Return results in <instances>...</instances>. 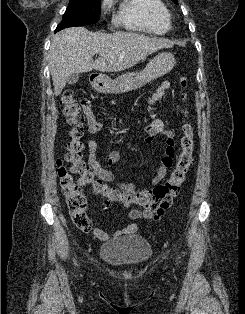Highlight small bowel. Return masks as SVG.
<instances>
[{"instance_id":"1","label":"small bowel","mask_w":245,"mask_h":314,"mask_svg":"<svg viewBox=\"0 0 245 314\" xmlns=\"http://www.w3.org/2000/svg\"><path fill=\"white\" fill-rule=\"evenodd\" d=\"M171 83L169 81H163L156 85L155 92L149 98V104L153 105L160 101L166 94V92L170 89ZM83 112L86 116L88 122V130L90 133H96L100 128L101 124L96 120L92 105L90 101L84 100L82 105ZM146 136L144 141L146 143H151L156 137L163 136L165 138V148L163 151V157L160 161L159 168L156 173L152 177L151 181L153 184H158L161 180H163L166 175L168 169L173 165V159L175 156V138L174 131L171 128H168L164 121L161 118H155L146 126ZM97 143L94 140L89 141L88 143V162L91 167L95 170L98 177L103 182H109L114 179V174L111 170V167L116 165L120 160V153L118 151H110L107 154L106 166H102L96 156ZM119 187L126 192H136L137 186L132 182H121L119 183ZM109 205L103 202V209L107 210ZM163 214H155L150 212H143L141 210H132L129 213V218L133 221L138 220L140 218L146 220H159ZM138 230V225L136 223H132L122 229L107 232L100 228H95L92 230L93 236L101 241V242H111L115 239L130 235Z\"/></svg>"}]
</instances>
